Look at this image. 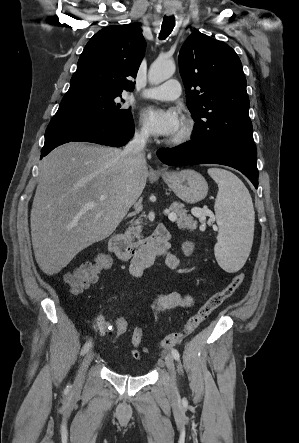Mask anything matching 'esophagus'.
Masks as SVG:
<instances>
[{
    "label": "esophagus",
    "mask_w": 299,
    "mask_h": 443,
    "mask_svg": "<svg viewBox=\"0 0 299 443\" xmlns=\"http://www.w3.org/2000/svg\"><path fill=\"white\" fill-rule=\"evenodd\" d=\"M168 14H171V12H168ZM158 168V170H162L160 167H157Z\"/></svg>",
    "instance_id": "esophagus-1"
}]
</instances>
